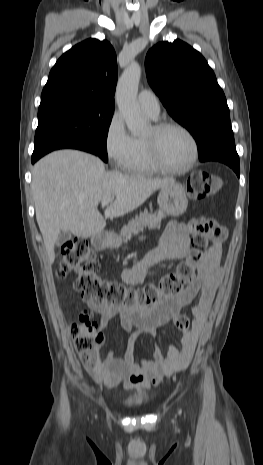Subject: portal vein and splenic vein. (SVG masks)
Masks as SVG:
<instances>
[{"instance_id":"1","label":"portal vein and splenic vein","mask_w":263,"mask_h":465,"mask_svg":"<svg viewBox=\"0 0 263 465\" xmlns=\"http://www.w3.org/2000/svg\"><path fill=\"white\" fill-rule=\"evenodd\" d=\"M113 198H106L101 201L103 207L109 205L112 202Z\"/></svg>"}]
</instances>
